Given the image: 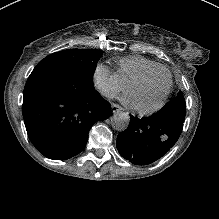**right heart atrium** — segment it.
<instances>
[{"instance_id": "d8ad5b80", "label": "right heart atrium", "mask_w": 219, "mask_h": 219, "mask_svg": "<svg viewBox=\"0 0 219 219\" xmlns=\"http://www.w3.org/2000/svg\"><path fill=\"white\" fill-rule=\"evenodd\" d=\"M93 79L96 87L107 97H115L123 90L117 75L104 64H98L95 67Z\"/></svg>"}]
</instances>
